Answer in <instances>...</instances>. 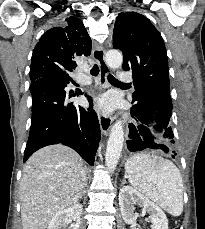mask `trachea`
Wrapping results in <instances>:
<instances>
[{"mask_svg": "<svg viewBox=\"0 0 205 229\" xmlns=\"http://www.w3.org/2000/svg\"><path fill=\"white\" fill-rule=\"evenodd\" d=\"M90 73H91V75H93V76H97L98 73H99V68H98V66H97V65H94V67L91 69ZM107 78H108V81H109L110 83L125 85V84L121 83L120 81H118V80H117L115 77H113L112 75H108Z\"/></svg>", "mask_w": 205, "mask_h": 229, "instance_id": "3493384b", "label": "trachea"}]
</instances>
